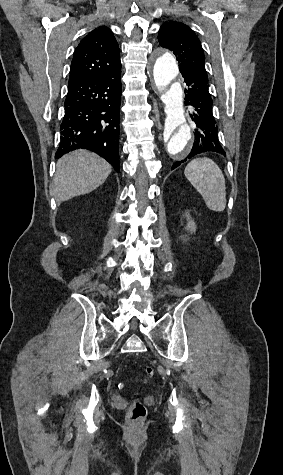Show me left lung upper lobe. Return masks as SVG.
I'll return each instance as SVG.
<instances>
[{"label": "left lung upper lobe", "mask_w": 283, "mask_h": 475, "mask_svg": "<svg viewBox=\"0 0 283 475\" xmlns=\"http://www.w3.org/2000/svg\"><path fill=\"white\" fill-rule=\"evenodd\" d=\"M162 47L173 51L179 62V70H192L207 74L205 57L196 34L185 24L177 21L164 22L158 32Z\"/></svg>", "instance_id": "obj_1"}]
</instances>
